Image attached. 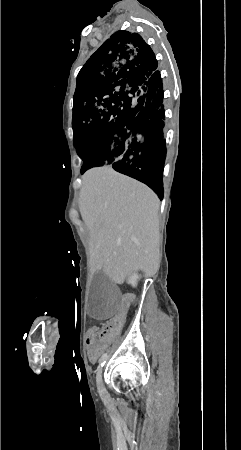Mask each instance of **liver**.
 <instances>
[{
    "label": "liver",
    "mask_w": 241,
    "mask_h": 450,
    "mask_svg": "<svg viewBox=\"0 0 241 450\" xmlns=\"http://www.w3.org/2000/svg\"><path fill=\"white\" fill-rule=\"evenodd\" d=\"M160 200L148 186L111 166L82 176L79 210L90 230L92 272L102 270L115 284L137 270H159Z\"/></svg>",
    "instance_id": "liver-1"
}]
</instances>
